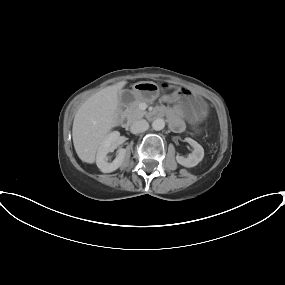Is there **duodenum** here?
Listing matches in <instances>:
<instances>
[{
  "label": "duodenum",
  "instance_id": "duodenum-1",
  "mask_svg": "<svg viewBox=\"0 0 285 285\" xmlns=\"http://www.w3.org/2000/svg\"><path fill=\"white\" fill-rule=\"evenodd\" d=\"M158 114H159V111H152V112L147 113V116H148L149 118H154V117H156Z\"/></svg>",
  "mask_w": 285,
  "mask_h": 285
}]
</instances>
